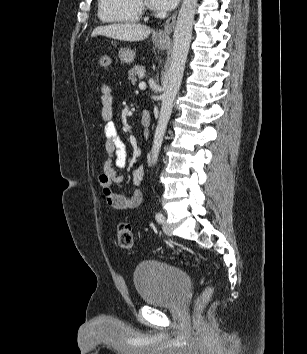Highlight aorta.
I'll list each match as a JSON object with an SVG mask.
<instances>
[{"label":"aorta","mask_w":307,"mask_h":354,"mask_svg":"<svg viewBox=\"0 0 307 354\" xmlns=\"http://www.w3.org/2000/svg\"><path fill=\"white\" fill-rule=\"evenodd\" d=\"M197 1L198 0H183L177 17L173 34V52L167 74L168 86L162 95L159 119L151 149L152 164H155L158 159L163 137L172 113L173 103L181 86L192 38Z\"/></svg>","instance_id":"762f6f07"}]
</instances>
